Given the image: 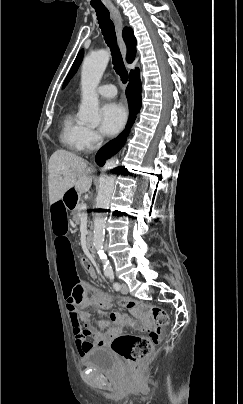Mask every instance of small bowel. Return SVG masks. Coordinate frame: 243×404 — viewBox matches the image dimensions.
<instances>
[{"mask_svg":"<svg viewBox=\"0 0 243 404\" xmlns=\"http://www.w3.org/2000/svg\"><path fill=\"white\" fill-rule=\"evenodd\" d=\"M67 211L63 195L54 199L50 206V221L67 311L72 323L78 353L83 357L88 350L106 346L113 338L120 335L122 320L117 313H112V323L102 324L100 328H97L91 325L87 312L78 310V305L89 304V298L86 295V287L80 283L75 269L74 255L68 236ZM89 273L92 278L95 277L93 270H90ZM87 337H91L92 342L88 341Z\"/></svg>","mask_w":243,"mask_h":404,"instance_id":"obj_1","label":"small bowel"}]
</instances>
